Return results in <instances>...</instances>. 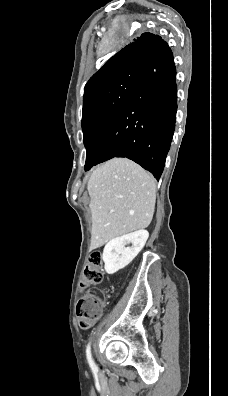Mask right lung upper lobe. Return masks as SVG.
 I'll return each mask as SVG.
<instances>
[{
  "instance_id": "right-lung-upper-lobe-1",
  "label": "right lung upper lobe",
  "mask_w": 228,
  "mask_h": 396,
  "mask_svg": "<svg viewBox=\"0 0 228 396\" xmlns=\"http://www.w3.org/2000/svg\"><path fill=\"white\" fill-rule=\"evenodd\" d=\"M165 43L158 35L143 33L134 42L128 44L111 57L87 82L84 97L103 82L134 70H142L146 58Z\"/></svg>"
}]
</instances>
